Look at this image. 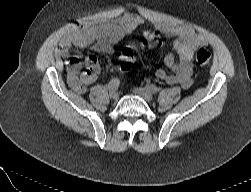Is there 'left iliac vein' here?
<instances>
[{
	"instance_id": "left-iliac-vein-1",
	"label": "left iliac vein",
	"mask_w": 251,
	"mask_h": 192,
	"mask_svg": "<svg viewBox=\"0 0 251 192\" xmlns=\"http://www.w3.org/2000/svg\"><path fill=\"white\" fill-rule=\"evenodd\" d=\"M133 92L136 95L142 97L147 102H151L153 100L152 93L146 88L137 87V88H134Z\"/></svg>"
}]
</instances>
